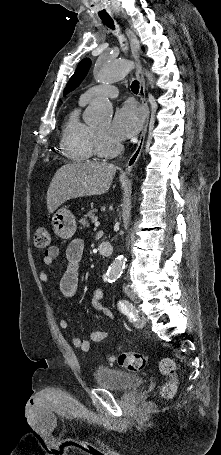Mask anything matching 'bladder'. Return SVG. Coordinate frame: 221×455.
Masks as SVG:
<instances>
[{"mask_svg":"<svg viewBox=\"0 0 221 455\" xmlns=\"http://www.w3.org/2000/svg\"><path fill=\"white\" fill-rule=\"evenodd\" d=\"M94 381L98 386L117 391H130L142 384L140 376L106 366L95 369Z\"/></svg>","mask_w":221,"mask_h":455,"instance_id":"1","label":"bladder"}]
</instances>
